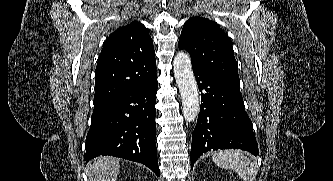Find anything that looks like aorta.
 Here are the masks:
<instances>
[{
    "label": "aorta",
    "instance_id": "1",
    "mask_svg": "<svg viewBox=\"0 0 333 181\" xmlns=\"http://www.w3.org/2000/svg\"><path fill=\"white\" fill-rule=\"evenodd\" d=\"M173 68L181 95L183 116L187 122H191L198 116L200 106L190 56L186 52L177 53L173 60Z\"/></svg>",
    "mask_w": 333,
    "mask_h": 181
}]
</instances>
